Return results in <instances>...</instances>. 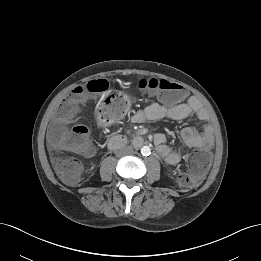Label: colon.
<instances>
[{
	"label": "colon",
	"mask_w": 261,
	"mask_h": 261,
	"mask_svg": "<svg viewBox=\"0 0 261 261\" xmlns=\"http://www.w3.org/2000/svg\"><path fill=\"white\" fill-rule=\"evenodd\" d=\"M138 87L142 91L155 95L164 104L177 103L184 97V91L180 85L165 79L144 78L139 81ZM87 93H98L104 96L108 108L104 115L106 123L115 122L129 110L130 104L124 95L110 92L106 80L95 79L74 88L73 93L61 107L60 116L69 117L74 110L76 97ZM54 135L59 147L64 150L82 155H91L94 152V144L86 126H75L72 129L57 128ZM210 162L211 155L208 151L192 152L188 158V171L180 172L177 175L178 184L183 187L195 186L207 171ZM54 166L61 178L68 184L76 183L82 171L81 162L74 157L58 158L55 160Z\"/></svg>",
	"instance_id": "5ec220e1"
}]
</instances>
